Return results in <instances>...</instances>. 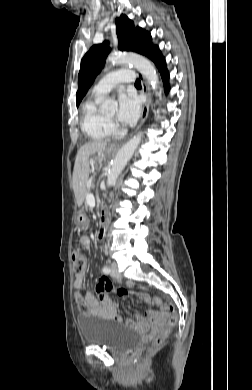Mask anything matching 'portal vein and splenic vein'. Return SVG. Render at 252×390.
<instances>
[{"label":"portal vein and splenic vein","instance_id":"1","mask_svg":"<svg viewBox=\"0 0 252 390\" xmlns=\"http://www.w3.org/2000/svg\"><path fill=\"white\" fill-rule=\"evenodd\" d=\"M86 201L87 203L91 206V207H94L95 206V198L93 196V194H88L86 196Z\"/></svg>","mask_w":252,"mask_h":390}]
</instances>
